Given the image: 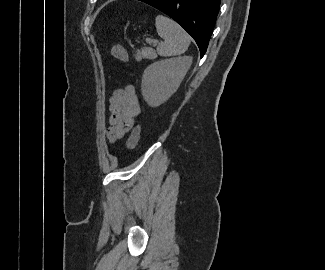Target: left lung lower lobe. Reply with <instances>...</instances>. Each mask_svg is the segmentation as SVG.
I'll use <instances>...</instances> for the list:
<instances>
[{
  "instance_id": "left-lung-lower-lobe-1",
  "label": "left lung lower lobe",
  "mask_w": 325,
  "mask_h": 270,
  "mask_svg": "<svg viewBox=\"0 0 325 270\" xmlns=\"http://www.w3.org/2000/svg\"><path fill=\"white\" fill-rule=\"evenodd\" d=\"M170 16L196 41L200 57L207 50L221 0H140Z\"/></svg>"
}]
</instances>
